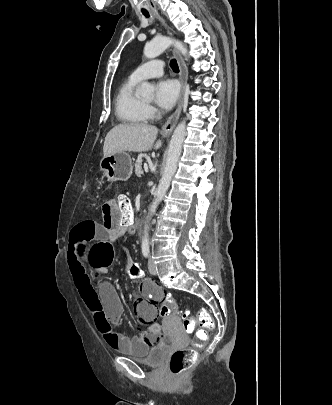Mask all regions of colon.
<instances>
[{
  "label": "colon",
  "mask_w": 332,
  "mask_h": 405,
  "mask_svg": "<svg viewBox=\"0 0 332 405\" xmlns=\"http://www.w3.org/2000/svg\"><path fill=\"white\" fill-rule=\"evenodd\" d=\"M118 202L116 203V208H119L121 215V223H126L134 217V209L131 205L130 199L125 194L117 195ZM104 248H91L92 266L93 268H119L121 255L116 252L119 249V240H104ZM125 263L131 262L130 256H125L123 258ZM141 267L138 262H131L127 271L131 273L133 278H141L143 273L141 272ZM154 288H162L159 285H155ZM96 296V294H95ZM164 300L161 301V306H159V313L155 315V320L157 322H164L166 319L172 318V312L177 311L176 299L173 296L167 295L163 297ZM181 317L183 328L186 332H192L196 327L197 322L192 319L187 311L179 312ZM197 318L203 330H199L196 333L197 341H204L207 336V331L213 329V321L209 316L208 312L204 309H200L197 312ZM196 360V352L192 348L178 349L172 352L169 362V368L173 375H179L185 370L190 368Z\"/></svg>",
  "instance_id": "obj_1"
}]
</instances>
